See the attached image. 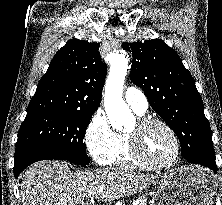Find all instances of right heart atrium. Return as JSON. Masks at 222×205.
I'll use <instances>...</instances> for the list:
<instances>
[{
    "mask_svg": "<svg viewBox=\"0 0 222 205\" xmlns=\"http://www.w3.org/2000/svg\"><path fill=\"white\" fill-rule=\"evenodd\" d=\"M117 140V133L112 129L106 115L97 111L85 130L87 149L97 164L108 163Z\"/></svg>",
    "mask_w": 222,
    "mask_h": 205,
    "instance_id": "right-heart-atrium-1",
    "label": "right heart atrium"
}]
</instances>
